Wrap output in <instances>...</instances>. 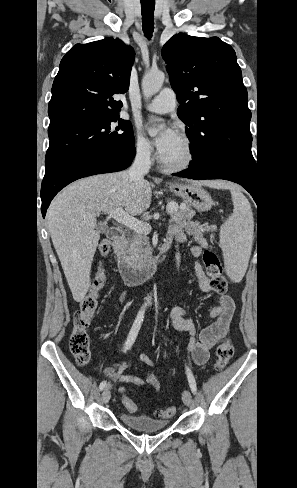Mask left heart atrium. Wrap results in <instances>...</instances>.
I'll return each mask as SVG.
<instances>
[{
  "label": "left heart atrium",
  "mask_w": 297,
  "mask_h": 488,
  "mask_svg": "<svg viewBox=\"0 0 297 488\" xmlns=\"http://www.w3.org/2000/svg\"><path fill=\"white\" fill-rule=\"evenodd\" d=\"M178 137L179 135L177 131L171 126L164 128L158 134V136L155 138V146L160 157H162L167 152V150L177 140Z\"/></svg>",
  "instance_id": "1"
}]
</instances>
